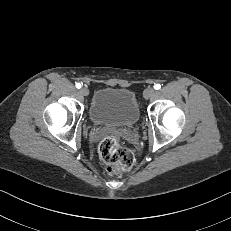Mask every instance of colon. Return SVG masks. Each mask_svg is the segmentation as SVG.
Returning <instances> with one entry per match:
<instances>
[{"instance_id":"obj_1","label":"colon","mask_w":231,"mask_h":231,"mask_svg":"<svg viewBox=\"0 0 231 231\" xmlns=\"http://www.w3.org/2000/svg\"><path fill=\"white\" fill-rule=\"evenodd\" d=\"M99 154L106 164L108 174H117L129 171L134 164L132 152L120 145L115 136H107L99 145Z\"/></svg>"}]
</instances>
